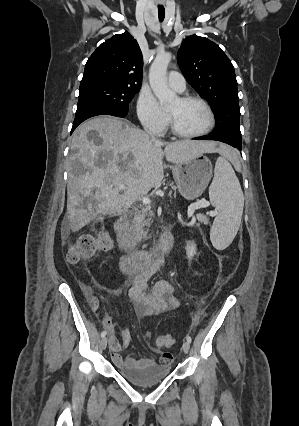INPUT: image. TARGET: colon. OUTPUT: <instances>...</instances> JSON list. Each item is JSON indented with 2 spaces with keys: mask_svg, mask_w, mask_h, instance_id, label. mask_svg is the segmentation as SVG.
<instances>
[{
  "mask_svg": "<svg viewBox=\"0 0 299 426\" xmlns=\"http://www.w3.org/2000/svg\"><path fill=\"white\" fill-rule=\"evenodd\" d=\"M110 239L105 233L83 235L76 242L69 244L67 257L71 263L93 256L96 252L108 248ZM176 340L172 335H159L155 338L157 347H171Z\"/></svg>",
  "mask_w": 299,
  "mask_h": 426,
  "instance_id": "obj_1",
  "label": "colon"
}]
</instances>
